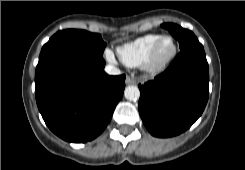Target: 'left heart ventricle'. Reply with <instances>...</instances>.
Wrapping results in <instances>:
<instances>
[{
	"label": "left heart ventricle",
	"mask_w": 245,
	"mask_h": 170,
	"mask_svg": "<svg viewBox=\"0 0 245 170\" xmlns=\"http://www.w3.org/2000/svg\"><path fill=\"white\" fill-rule=\"evenodd\" d=\"M171 49V44L168 40H165L161 43L159 50H158V58H163L165 55L169 53Z\"/></svg>",
	"instance_id": "b2bd125f"
}]
</instances>
